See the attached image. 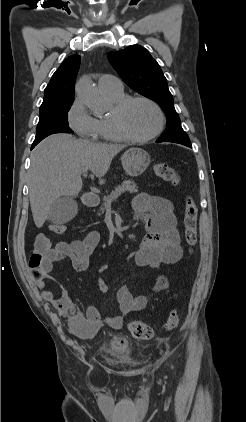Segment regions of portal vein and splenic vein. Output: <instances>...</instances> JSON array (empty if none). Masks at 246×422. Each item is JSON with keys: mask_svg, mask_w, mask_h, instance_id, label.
<instances>
[{"mask_svg": "<svg viewBox=\"0 0 246 422\" xmlns=\"http://www.w3.org/2000/svg\"><path fill=\"white\" fill-rule=\"evenodd\" d=\"M82 174L85 176L87 174V170H83Z\"/></svg>", "mask_w": 246, "mask_h": 422, "instance_id": "18ae733b", "label": "portal vein and splenic vein"}]
</instances>
